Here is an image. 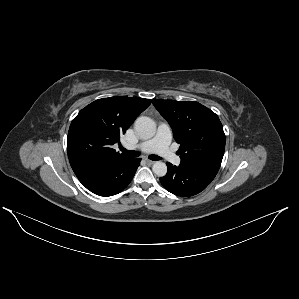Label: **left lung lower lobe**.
<instances>
[{
    "instance_id": "obj_1",
    "label": "left lung lower lobe",
    "mask_w": 299,
    "mask_h": 299,
    "mask_svg": "<svg viewBox=\"0 0 299 299\" xmlns=\"http://www.w3.org/2000/svg\"><path fill=\"white\" fill-rule=\"evenodd\" d=\"M168 171L160 178L163 187L178 196H193L203 191L214 179L220 163L192 161L173 166L167 162Z\"/></svg>"
}]
</instances>
